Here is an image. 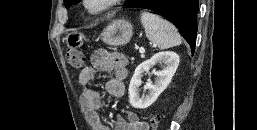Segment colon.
Segmentation results:
<instances>
[{
  "instance_id": "5ec220e1",
  "label": "colon",
  "mask_w": 257,
  "mask_h": 130,
  "mask_svg": "<svg viewBox=\"0 0 257 130\" xmlns=\"http://www.w3.org/2000/svg\"><path fill=\"white\" fill-rule=\"evenodd\" d=\"M67 61L74 70H81L84 67V55L78 50H71L67 53ZM160 117L154 115L150 118V130H159Z\"/></svg>"
}]
</instances>
